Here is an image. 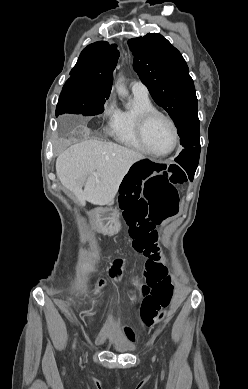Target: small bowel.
<instances>
[{
    "label": "small bowel",
    "instance_id": "obj_1",
    "mask_svg": "<svg viewBox=\"0 0 248 389\" xmlns=\"http://www.w3.org/2000/svg\"><path fill=\"white\" fill-rule=\"evenodd\" d=\"M115 332V328L112 322H108L105 327H104V333L110 336H113ZM124 335L125 338L130 342L134 343L135 342V335L130 328H125L124 329Z\"/></svg>",
    "mask_w": 248,
    "mask_h": 389
}]
</instances>
